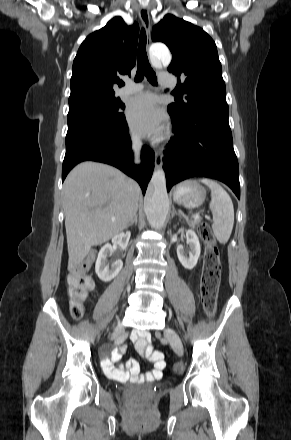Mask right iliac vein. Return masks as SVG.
Returning a JSON list of instances; mask_svg holds the SVG:
<instances>
[{"label": "right iliac vein", "mask_w": 291, "mask_h": 440, "mask_svg": "<svg viewBox=\"0 0 291 440\" xmlns=\"http://www.w3.org/2000/svg\"><path fill=\"white\" fill-rule=\"evenodd\" d=\"M116 336H117V334H116V333H114L112 337H113V338H115Z\"/></svg>", "instance_id": "63e3f726"}]
</instances>
